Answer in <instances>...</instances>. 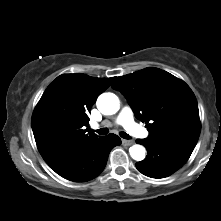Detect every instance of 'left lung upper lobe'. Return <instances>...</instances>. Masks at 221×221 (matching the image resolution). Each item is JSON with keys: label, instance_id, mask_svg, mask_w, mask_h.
<instances>
[{"label": "left lung upper lobe", "instance_id": "1", "mask_svg": "<svg viewBox=\"0 0 221 221\" xmlns=\"http://www.w3.org/2000/svg\"><path fill=\"white\" fill-rule=\"evenodd\" d=\"M112 87L127 98L137 118L147 124L148 139H198L201 127L198 104L184 81L149 67L119 76Z\"/></svg>", "mask_w": 221, "mask_h": 221}]
</instances>
